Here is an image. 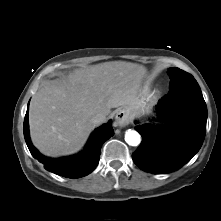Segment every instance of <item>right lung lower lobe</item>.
<instances>
[{"instance_id":"1","label":"right lung lower lobe","mask_w":221,"mask_h":221,"mask_svg":"<svg viewBox=\"0 0 221 221\" xmlns=\"http://www.w3.org/2000/svg\"><path fill=\"white\" fill-rule=\"evenodd\" d=\"M28 111L29 104L24 119V138L30 153L39 162L44 164L46 170L66 178L75 179L91 173L99 162L102 144L114 135L112 121H109L92 133L85 149L79 154L59 159L47 158L40 154L31 143L29 137Z\"/></svg>"}]
</instances>
